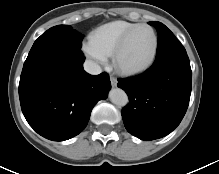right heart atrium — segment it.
<instances>
[{
	"mask_svg": "<svg viewBox=\"0 0 219 174\" xmlns=\"http://www.w3.org/2000/svg\"><path fill=\"white\" fill-rule=\"evenodd\" d=\"M82 50L86 57L95 65H105L107 63V56L98 50L90 41L83 44Z\"/></svg>",
	"mask_w": 219,
	"mask_h": 174,
	"instance_id": "right-heart-atrium-1",
	"label": "right heart atrium"
}]
</instances>
